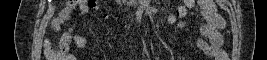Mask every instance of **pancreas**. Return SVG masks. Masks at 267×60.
Instances as JSON below:
<instances>
[{
  "label": "pancreas",
  "instance_id": "1",
  "mask_svg": "<svg viewBox=\"0 0 267 60\" xmlns=\"http://www.w3.org/2000/svg\"><path fill=\"white\" fill-rule=\"evenodd\" d=\"M129 1H130V2H133V3L136 2V0H129Z\"/></svg>",
  "mask_w": 267,
  "mask_h": 60
}]
</instances>
